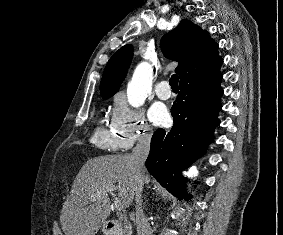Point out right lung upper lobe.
Returning a JSON list of instances; mask_svg holds the SVG:
<instances>
[{
	"label": "right lung upper lobe",
	"instance_id": "right-lung-upper-lobe-1",
	"mask_svg": "<svg viewBox=\"0 0 283 235\" xmlns=\"http://www.w3.org/2000/svg\"><path fill=\"white\" fill-rule=\"evenodd\" d=\"M161 48L167 58L179 62L175 71L180 75V84L208 76L219 70L223 63L217 54L218 44L206 31L187 19L162 38ZM132 55V46L125 45L108 61L100 83L103 99L118 91Z\"/></svg>",
	"mask_w": 283,
	"mask_h": 235
}]
</instances>
